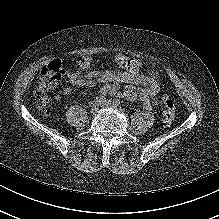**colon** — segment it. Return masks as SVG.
I'll list each match as a JSON object with an SVG mask.
<instances>
[{"label":"colon","mask_w":219,"mask_h":219,"mask_svg":"<svg viewBox=\"0 0 219 219\" xmlns=\"http://www.w3.org/2000/svg\"><path fill=\"white\" fill-rule=\"evenodd\" d=\"M91 64V60L89 62L84 61V65ZM63 75V67L60 60H53L49 64H47L39 73L38 80L36 83L35 94L39 102L42 106L44 104V95L46 92L56 88L61 81ZM165 112L163 114L162 123L164 126H169L174 118L175 113V102L173 98L169 95H163L162 97Z\"/></svg>","instance_id":"obj_1"}]
</instances>
